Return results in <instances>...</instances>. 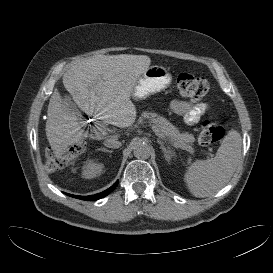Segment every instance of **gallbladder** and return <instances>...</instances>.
<instances>
[{
	"instance_id": "1",
	"label": "gallbladder",
	"mask_w": 273,
	"mask_h": 273,
	"mask_svg": "<svg viewBox=\"0 0 273 273\" xmlns=\"http://www.w3.org/2000/svg\"><path fill=\"white\" fill-rule=\"evenodd\" d=\"M65 104H67V108L71 111L72 115L77 118V120H83V115L80 114L78 108L73 103V99L71 97H67L64 100Z\"/></svg>"
}]
</instances>
